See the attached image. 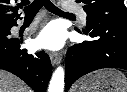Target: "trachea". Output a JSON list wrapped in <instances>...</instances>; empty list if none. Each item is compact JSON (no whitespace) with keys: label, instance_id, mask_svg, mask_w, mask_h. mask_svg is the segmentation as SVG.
<instances>
[{"label":"trachea","instance_id":"1","mask_svg":"<svg viewBox=\"0 0 127 92\" xmlns=\"http://www.w3.org/2000/svg\"><path fill=\"white\" fill-rule=\"evenodd\" d=\"M45 7L49 12L65 15V16H75L72 13L64 12L56 7L50 0H34L30 5L25 7L24 12L26 13V17L35 16L40 8Z\"/></svg>","mask_w":127,"mask_h":92}]
</instances>
